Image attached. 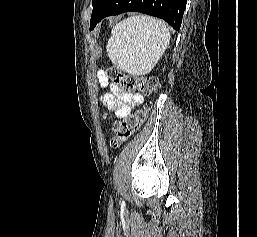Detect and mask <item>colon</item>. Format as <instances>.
I'll list each match as a JSON object with an SVG mask.
<instances>
[{
	"instance_id": "5ec220e1",
	"label": "colon",
	"mask_w": 257,
	"mask_h": 237,
	"mask_svg": "<svg viewBox=\"0 0 257 237\" xmlns=\"http://www.w3.org/2000/svg\"><path fill=\"white\" fill-rule=\"evenodd\" d=\"M107 75L115 86L127 93L135 91L150 95L161 87L160 81L155 76L128 75L117 67H110ZM148 110L149 106L147 105L144 109L136 111L113 125L114 136L110 139V145L113 149L118 148L123 141L129 139L139 130L147 118Z\"/></svg>"
}]
</instances>
